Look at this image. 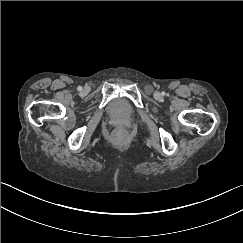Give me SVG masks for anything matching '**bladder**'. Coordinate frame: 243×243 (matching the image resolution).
Segmentation results:
<instances>
[{
	"mask_svg": "<svg viewBox=\"0 0 243 243\" xmlns=\"http://www.w3.org/2000/svg\"><path fill=\"white\" fill-rule=\"evenodd\" d=\"M106 112L110 117L117 119H129L135 114L132 103L122 97L111 99L106 105Z\"/></svg>",
	"mask_w": 243,
	"mask_h": 243,
	"instance_id": "31cf9c89",
	"label": "bladder"
}]
</instances>
